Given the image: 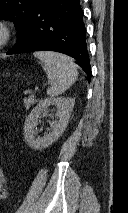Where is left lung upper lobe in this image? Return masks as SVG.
Returning <instances> with one entry per match:
<instances>
[{"mask_svg": "<svg viewBox=\"0 0 128 213\" xmlns=\"http://www.w3.org/2000/svg\"><path fill=\"white\" fill-rule=\"evenodd\" d=\"M38 0H0V20H11L18 30L17 37L30 19Z\"/></svg>", "mask_w": 128, "mask_h": 213, "instance_id": "left-lung-upper-lobe-1", "label": "left lung upper lobe"}]
</instances>
